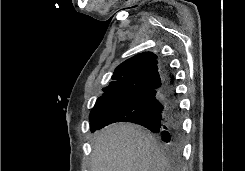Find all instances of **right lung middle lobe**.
Segmentation results:
<instances>
[{
  "label": "right lung middle lobe",
  "instance_id": "1",
  "mask_svg": "<svg viewBox=\"0 0 245 171\" xmlns=\"http://www.w3.org/2000/svg\"><path fill=\"white\" fill-rule=\"evenodd\" d=\"M122 101L123 98H113L103 102H97L90 113L91 131H93Z\"/></svg>",
  "mask_w": 245,
  "mask_h": 171
}]
</instances>
